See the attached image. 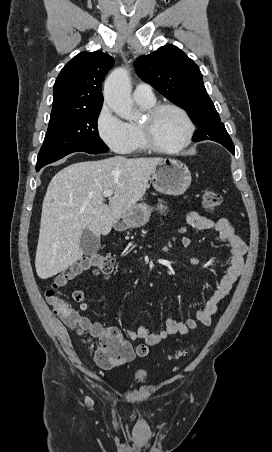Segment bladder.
Listing matches in <instances>:
<instances>
[{
	"instance_id": "obj_1",
	"label": "bladder",
	"mask_w": 272,
	"mask_h": 452,
	"mask_svg": "<svg viewBox=\"0 0 272 452\" xmlns=\"http://www.w3.org/2000/svg\"><path fill=\"white\" fill-rule=\"evenodd\" d=\"M134 377L138 382H144L148 377V373L147 371L140 369L135 371Z\"/></svg>"
}]
</instances>
